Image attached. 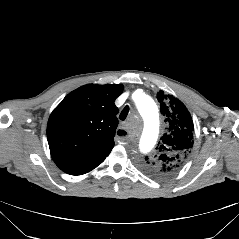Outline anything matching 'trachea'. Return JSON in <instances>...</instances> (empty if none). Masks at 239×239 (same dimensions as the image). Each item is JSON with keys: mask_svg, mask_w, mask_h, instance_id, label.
I'll return each instance as SVG.
<instances>
[{"mask_svg": "<svg viewBox=\"0 0 239 239\" xmlns=\"http://www.w3.org/2000/svg\"><path fill=\"white\" fill-rule=\"evenodd\" d=\"M128 112H129V106H125L122 112L120 113L119 118L121 120H125L128 115Z\"/></svg>", "mask_w": 239, "mask_h": 239, "instance_id": "3493384b", "label": "trachea"}]
</instances>
